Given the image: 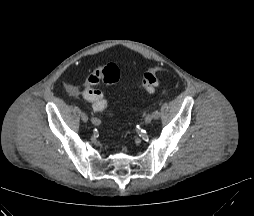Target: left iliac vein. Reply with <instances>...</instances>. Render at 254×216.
<instances>
[{
	"label": "left iliac vein",
	"instance_id": "obj_1",
	"mask_svg": "<svg viewBox=\"0 0 254 216\" xmlns=\"http://www.w3.org/2000/svg\"><path fill=\"white\" fill-rule=\"evenodd\" d=\"M152 120H153L152 114H148V115L145 117V123H146V124L151 123Z\"/></svg>",
	"mask_w": 254,
	"mask_h": 216
}]
</instances>
